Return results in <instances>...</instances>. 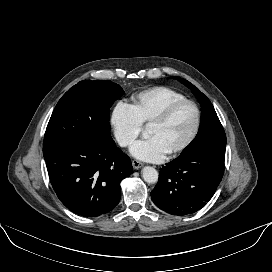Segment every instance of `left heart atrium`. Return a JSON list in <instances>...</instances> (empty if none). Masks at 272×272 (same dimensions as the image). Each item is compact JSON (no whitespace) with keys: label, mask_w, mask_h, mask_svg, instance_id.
Instances as JSON below:
<instances>
[{"label":"left heart atrium","mask_w":272,"mask_h":272,"mask_svg":"<svg viewBox=\"0 0 272 272\" xmlns=\"http://www.w3.org/2000/svg\"><path fill=\"white\" fill-rule=\"evenodd\" d=\"M131 154L137 159L158 162L165 158L167 151L159 138L152 136L132 145Z\"/></svg>","instance_id":"obj_1"}]
</instances>
